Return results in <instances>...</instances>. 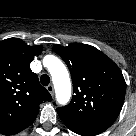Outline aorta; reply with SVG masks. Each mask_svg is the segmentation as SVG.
I'll list each match as a JSON object with an SVG mask.
<instances>
[{
	"label": "aorta",
	"mask_w": 136,
	"mask_h": 136,
	"mask_svg": "<svg viewBox=\"0 0 136 136\" xmlns=\"http://www.w3.org/2000/svg\"><path fill=\"white\" fill-rule=\"evenodd\" d=\"M55 88L56 100L59 104H66L71 97V82L68 70L63 62L52 55L44 58Z\"/></svg>",
	"instance_id": "aorta-1"
}]
</instances>
